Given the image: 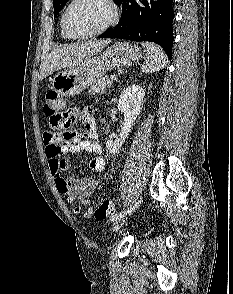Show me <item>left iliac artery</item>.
I'll use <instances>...</instances> for the list:
<instances>
[{
  "instance_id": "44dca946",
  "label": "left iliac artery",
  "mask_w": 233,
  "mask_h": 294,
  "mask_svg": "<svg viewBox=\"0 0 233 294\" xmlns=\"http://www.w3.org/2000/svg\"><path fill=\"white\" fill-rule=\"evenodd\" d=\"M142 202V198H140V200H138L137 202H135L132 206H130L129 208H127L124 212H120V213H117L115 215H113L111 218H110V221H115L121 217H123L125 214L127 213H131L132 211L135 210V208H137L139 206V204Z\"/></svg>"
}]
</instances>
